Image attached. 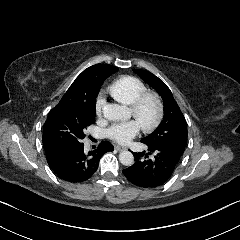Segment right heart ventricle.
Returning a JSON list of instances; mask_svg holds the SVG:
<instances>
[{
  "label": "right heart ventricle",
  "mask_w": 240,
  "mask_h": 240,
  "mask_svg": "<svg viewBox=\"0 0 240 240\" xmlns=\"http://www.w3.org/2000/svg\"><path fill=\"white\" fill-rule=\"evenodd\" d=\"M144 83L138 78L125 76L116 80L110 87V95L119 103L131 106L135 99L145 92Z\"/></svg>",
  "instance_id": "obj_1"
}]
</instances>
